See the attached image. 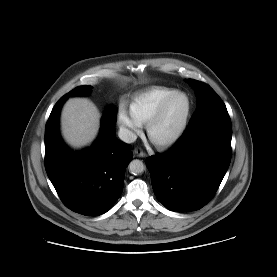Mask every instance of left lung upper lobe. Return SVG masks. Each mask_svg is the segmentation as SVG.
<instances>
[{"instance_id": "5c2ea615", "label": "left lung upper lobe", "mask_w": 277, "mask_h": 277, "mask_svg": "<svg viewBox=\"0 0 277 277\" xmlns=\"http://www.w3.org/2000/svg\"><path fill=\"white\" fill-rule=\"evenodd\" d=\"M187 82L198 97V104L189 124L213 112L227 110L221 98L207 84L193 79H187Z\"/></svg>"}]
</instances>
